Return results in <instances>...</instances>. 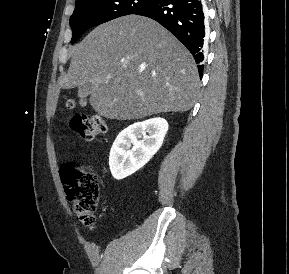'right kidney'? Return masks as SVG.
<instances>
[{"instance_id":"ca27d5eb","label":"right kidney","mask_w":289,"mask_h":274,"mask_svg":"<svg viewBox=\"0 0 289 274\" xmlns=\"http://www.w3.org/2000/svg\"><path fill=\"white\" fill-rule=\"evenodd\" d=\"M167 131L168 123L160 117L136 122L122 130L110 150L112 176L121 180L141 169L160 149Z\"/></svg>"}]
</instances>
